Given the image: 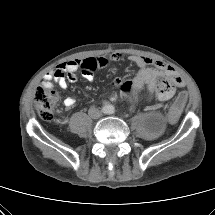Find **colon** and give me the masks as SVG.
<instances>
[{
	"mask_svg": "<svg viewBox=\"0 0 215 215\" xmlns=\"http://www.w3.org/2000/svg\"><path fill=\"white\" fill-rule=\"evenodd\" d=\"M173 87L171 82L164 84L163 91L169 92ZM186 100V95L181 94L172 105L169 121L174 122L179 117L183 105ZM58 102V95L51 84L43 85L38 88L35 93V105L39 116L46 121H51L54 118V110Z\"/></svg>",
	"mask_w": 215,
	"mask_h": 215,
	"instance_id": "5ec220e1",
	"label": "colon"
}]
</instances>
